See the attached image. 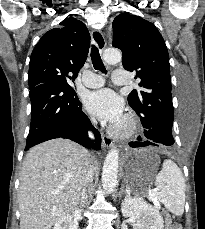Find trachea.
<instances>
[{"instance_id":"trachea-1","label":"trachea","mask_w":205,"mask_h":229,"mask_svg":"<svg viewBox=\"0 0 205 229\" xmlns=\"http://www.w3.org/2000/svg\"><path fill=\"white\" fill-rule=\"evenodd\" d=\"M91 60L94 68L96 70H100L102 73H106L105 66L101 60L98 48L96 46H93L91 48Z\"/></svg>"}]
</instances>
